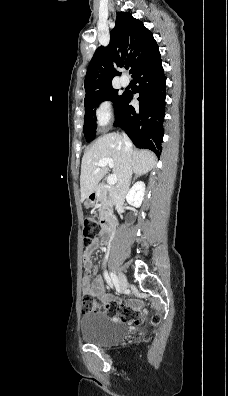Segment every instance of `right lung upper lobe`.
<instances>
[{"instance_id": "1", "label": "right lung upper lobe", "mask_w": 228, "mask_h": 396, "mask_svg": "<svg viewBox=\"0 0 228 396\" xmlns=\"http://www.w3.org/2000/svg\"><path fill=\"white\" fill-rule=\"evenodd\" d=\"M157 46L153 34L128 12H120L110 33V44L95 51L85 77L86 97L112 86L115 67L130 64L132 75Z\"/></svg>"}]
</instances>
